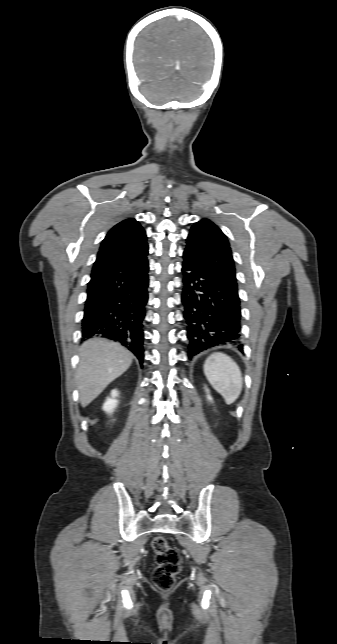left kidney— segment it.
I'll list each match as a JSON object with an SVG mask.
<instances>
[{
  "mask_svg": "<svg viewBox=\"0 0 337 644\" xmlns=\"http://www.w3.org/2000/svg\"><path fill=\"white\" fill-rule=\"evenodd\" d=\"M206 391L209 392L208 389H206ZM207 398H208V400L212 401V398H211V396L209 394L207 395Z\"/></svg>",
  "mask_w": 337,
  "mask_h": 644,
  "instance_id": "1",
  "label": "left kidney"
}]
</instances>
